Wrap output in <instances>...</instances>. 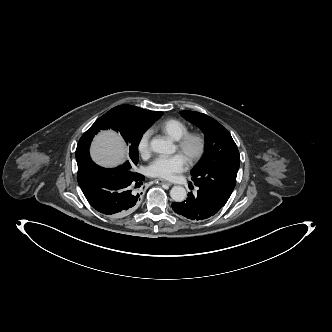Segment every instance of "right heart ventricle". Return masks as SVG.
Wrapping results in <instances>:
<instances>
[{
  "instance_id": "right-heart-ventricle-1",
  "label": "right heart ventricle",
  "mask_w": 332,
  "mask_h": 332,
  "mask_svg": "<svg viewBox=\"0 0 332 332\" xmlns=\"http://www.w3.org/2000/svg\"><path fill=\"white\" fill-rule=\"evenodd\" d=\"M156 129L162 131L172 140H179L188 132V126L181 120L176 118L167 119L156 126Z\"/></svg>"
}]
</instances>
